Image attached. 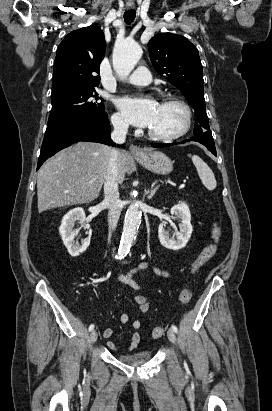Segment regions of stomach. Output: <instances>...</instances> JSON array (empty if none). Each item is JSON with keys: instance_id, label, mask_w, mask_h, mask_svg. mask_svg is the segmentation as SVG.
<instances>
[{"instance_id": "obj_1", "label": "stomach", "mask_w": 272, "mask_h": 411, "mask_svg": "<svg viewBox=\"0 0 272 411\" xmlns=\"http://www.w3.org/2000/svg\"><path fill=\"white\" fill-rule=\"evenodd\" d=\"M135 159L146 169L156 174H169L173 170L172 160L161 151H147Z\"/></svg>"}]
</instances>
